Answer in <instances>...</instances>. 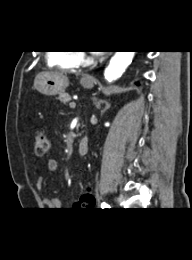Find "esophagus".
I'll use <instances>...</instances> for the list:
<instances>
[{
  "label": "esophagus",
  "instance_id": "obj_1",
  "mask_svg": "<svg viewBox=\"0 0 192 260\" xmlns=\"http://www.w3.org/2000/svg\"><path fill=\"white\" fill-rule=\"evenodd\" d=\"M86 78H88V79H92V77H91V76H86Z\"/></svg>",
  "mask_w": 192,
  "mask_h": 260
}]
</instances>
